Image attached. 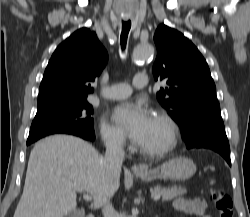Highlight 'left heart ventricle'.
Listing matches in <instances>:
<instances>
[{"label":"left heart ventricle","mask_w":250,"mask_h":217,"mask_svg":"<svg viewBox=\"0 0 250 217\" xmlns=\"http://www.w3.org/2000/svg\"><path fill=\"white\" fill-rule=\"evenodd\" d=\"M167 138L168 133L166 126L157 117L152 116L150 126L139 145L147 149H156L163 146Z\"/></svg>","instance_id":"obj_1"}]
</instances>
